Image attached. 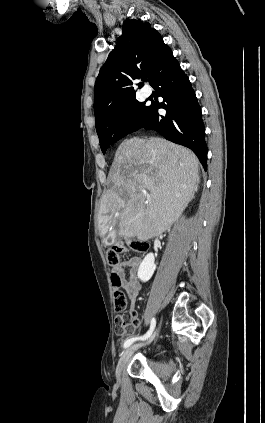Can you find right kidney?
<instances>
[{
  "label": "right kidney",
  "instance_id": "ca27d5eb",
  "mask_svg": "<svg viewBox=\"0 0 265 423\" xmlns=\"http://www.w3.org/2000/svg\"><path fill=\"white\" fill-rule=\"evenodd\" d=\"M154 261L155 258L153 253H149L145 256L142 263L140 264L137 275L142 282H147L154 274L156 269Z\"/></svg>",
  "mask_w": 265,
  "mask_h": 423
}]
</instances>
